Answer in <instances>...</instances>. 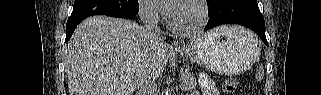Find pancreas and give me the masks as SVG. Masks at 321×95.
I'll return each instance as SVG.
<instances>
[{
	"label": "pancreas",
	"instance_id": "cf45deb5",
	"mask_svg": "<svg viewBox=\"0 0 321 95\" xmlns=\"http://www.w3.org/2000/svg\"><path fill=\"white\" fill-rule=\"evenodd\" d=\"M181 87L186 91H192L196 87V80L190 73H184L181 76Z\"/></svg>",
	"mask_w": 321,
	"mask_h": 95
}]
</instances>
